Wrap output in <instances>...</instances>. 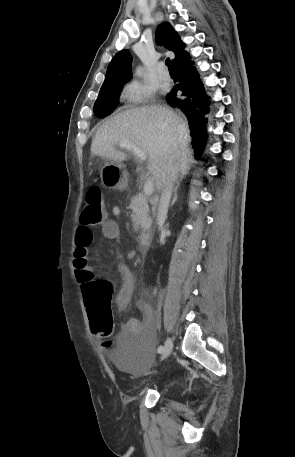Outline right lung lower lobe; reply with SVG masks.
<instances>
[{"instance_id":"right-lung-lower-lobe-1","label":"right lung lower lobe","mask_w":295,"mask_h":457,"mask_svg":"<svg viewBox=\"0 0 295 457\" xmlns=\"http://www.w3.org/2000/svg\"><path fill=\"white\" fill-rule=\"evenodd\" d=\"M173 64L177 73L178 85L173 87L166 98L172 106L180 108L185 113L192 131L195 150L202 152L206 140L205 129H202V126L207 122L204 114L209 112L208 97L193 66L194 62L190 60L189 53L184 51ZM177 92L179 96H177ZM195 126L199 129H193Z\"/></svg>"}]
</instances>
